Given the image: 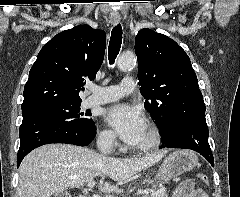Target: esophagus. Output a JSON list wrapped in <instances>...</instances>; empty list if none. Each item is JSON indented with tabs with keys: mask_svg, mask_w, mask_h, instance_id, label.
I'll return each instance as SVG.
<instances>
[{
	"mask_svg": "<svg viewBox=\"0 0 240 197\" xmlns=\"http://www.w3.org/2000/svg\"><path fill=\"white\" fill-rule=\"evenodd\" d=\"M110 21L113 25H117L120 22V15L118 13H112L110 15Z\"/></svg>",
	"mask_w": 240,
	"mask_h": 197,
	"instance_id": "esophagus-1",
	"label": "esophagus"
}]
</instances>
